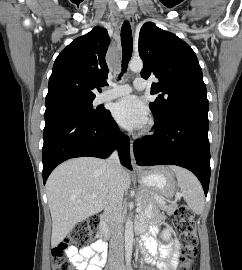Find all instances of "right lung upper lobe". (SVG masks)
Returning a JSON list of instances; mask_svg holds the SVG:
<instances>
[{"label":"right lung upper lobe","instance_id":"obj_1","mask_svg":"<svg viewBox=\"0 0 242 270\" xmlns=\"http://www.w3.org/2000/svg\"><path fill=\"white\" fill-rule=\"evenodd\" d=\"M109 43L107 30L96 26L61 51L49 78L45 105L94 99V92L107 85Z\"/></svg>","mask_w":242,"mask_h":270}]
</instances>
